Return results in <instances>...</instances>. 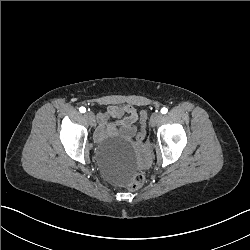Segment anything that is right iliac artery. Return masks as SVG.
<instances>
[{
	"label": "right iliac artery",
	"mask_w": 250,
	"mask_h": 250,
	"mask_svg": "<svg viewBox=\"0 0 250 250\" xmlns=\"http://www.w3.org/2000/svg\"><path fill=\"white\" fill-rule=\"evenodd\" d=\"M79 111H80L81 113H85V112H86V108H85V107H80V108H79Z\"/></svg>",
	"instance_id": "right-iliac-artery-1"
}]
</instances>
